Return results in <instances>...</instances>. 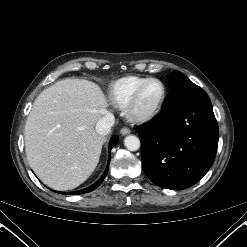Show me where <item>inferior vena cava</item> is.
<instances>
[{
	"instance_id": "602c4592",
	"label": "inferior vena cava",
	"mask_w": 247,
	"mask_h": 247,
	"mask_svg": "<svg viewBox=\"0 0 247 247\" xmlns=\"http://www.w3.org/2000/svg\"><path fill=\"white\" fill-rule=\"evenodd\" d=\"M115 118L114 115L109 113L102 117L97 123H96V132L100 135H107L110 133L111 127L114 125Z\"/></svg>"
}]
</instances>
